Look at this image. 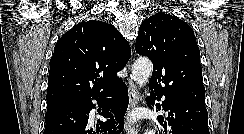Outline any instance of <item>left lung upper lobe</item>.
I'll use <instances>...</instances> for the list:
<instances>
[{
    "instance_id": "obj_1",
    "label": "left lung upper lobe",
    "mask_w": 244,
    "mask_h": 134,
    "mask_svg": "<svg viewBox=\"0 0 244 134\" xmlns=\"http://www.w3.org/2000/svg\"><path fill=\"white\" fill-rule=\"evenodd\" d=\"M135 50L153 63L152 89L205 104L200 51L186 22L160 12L151 16L139 28Z\"/></svg>"
}]
</instances>
